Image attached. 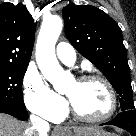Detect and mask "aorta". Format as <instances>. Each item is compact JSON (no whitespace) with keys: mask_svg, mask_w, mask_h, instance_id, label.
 Listing matches in <instances>:
<instances>
[{"mask_svg":"<svg viewBox=\"0 0 136 136\" xmlns=\"http://www.w3.org/2000/svg\"><path fill=\"white\" fill-rule=\"evenodd\" d=\"M62 28L63 22L60 17L44 18L36 44L37 65L42 75L59 93L64 92L67 80L72 78L64 72L55 55V45Z\"/></svg>","mask_w":136,"mask_h":136,"instance_id":"aorta-1","label":"aorta"}]
</instances>
